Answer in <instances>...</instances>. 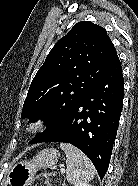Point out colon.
<instances>
[{"mask_svg": "<svg viewBox=\"0 0 138 186\" xmlns=\"http://www.w3.org/2000/svg\"><path fill=\"white\" fill-rule=\"evenodd\" d=\"M32 186H66L64 177L55 171L41 172Z\"/></svg>", "mask_w": 138, "mask_h": 186, "instance_id": "1", "label": "colon"}]
</instances>
